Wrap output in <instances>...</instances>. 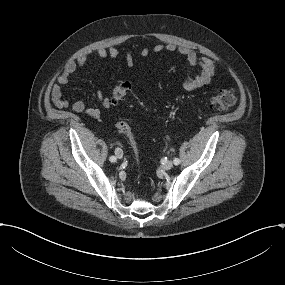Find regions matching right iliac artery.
Here are the masks:
<instances>
[{"instance_id":"right-iliac-artery-1","label":"right iliac artery","mask_w":285,"mask_h":285,"mask_svg":"<svg viewBox=\"0 0 285 285\" xmlns=\"http://www.w3.org/2000/svg\"><path fill=\"white\" fill-rule=\"evenodd\" d=\"M109 160H110L111 162H116V157H115V156H111V157L109 158Z\"/></svg>"}]
</instances>
